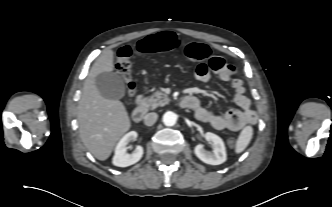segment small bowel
Masks as SVG:
<instances>
[{
	"label": "small bowel",
	"instance_id": "1",
	"mask_svg": "<svg viewBox=\"0 0 332 207\" xmlns=\"http://www.w3.org/2000/svg\"><path fill=\"white\" fill-rule=\"evenodd\" d=\"M231 84L234 89V102L239 109H230L223 114H217L201 105L200 101L194 97L191 109L197 120L211 125L216 130L237 131L247 124H254L257 114L251 107V102L245 96L242 80L236 77L234 66L225 62L219 56L211 58L207 63H201L195 68V77L201 82H208L212 76Z\"/></svg>",
	"mask_w": 332,
	"mask_h": 207
}]
</instances>
